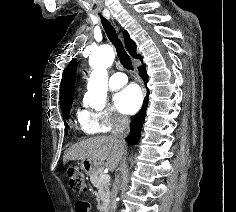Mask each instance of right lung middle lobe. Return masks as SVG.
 <instances>
[{"label":"right lung middle lobe","mask_w":236,"mask_h":212,"mask_svg":"<svg viewBox=\"0 0 236 212\" xmlns=\"http://www.w3.org/2000/svg\"><path fill=\"white\" fill-rule=\"evenodd\" d=\"M72 102H73V98L65 100L62 103H60L61 110H62V113H63V116H64L65 119H68L69 112H70V109H71V106H72ZM65 126H66L65 129L67 130L68 125L65 124Z\"/></svg>","instance_id":"dd1d6c3e"}]
</instances>
